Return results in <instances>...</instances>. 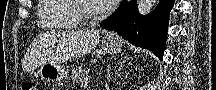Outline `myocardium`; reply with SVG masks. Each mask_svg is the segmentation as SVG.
<instances>
[{
    "mask_svg": "<svg viewBox=\"0 0 216 90\" xmlns=\"http://www.w3.org/2000/svg\"><path fill=\"white\" fill-rule=\"evenodd\" d=\"M76 9V17L84 22L85 28H96L100 16H107L111 11L110 7L99 5L96 9H89L84 6V1H73Z\"/></svg>",
    "mask_w": 216,
    "mask_h": 90,
    "instance_id": "f54148a6",
    "label": "myocardium"
}]
</instances>
